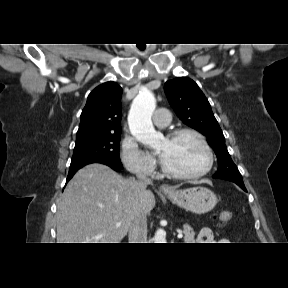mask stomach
<instances>
[{
  "instance_id": "1",
  "label": "stomach",
  "mask_w": 288,
  "mask_h": 288,
  "mask_svg": "<svg viewBox=\"0 0 288 288\" xmlns=\"http://www.w3.org/2000/svg\"><path fill=\"white\" fill-rule=\"evenodd\" d=\"M166 196L172 203L196 214L211 211L218 202L215 193L203 186L177 190Z\"/></svg>"
}]
</instances>
